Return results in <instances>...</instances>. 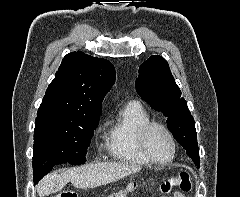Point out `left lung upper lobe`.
<instances>
[{"instance_id":"obj_1","label":"left lung upper lobe","mask_w":240,"mask_h":197,"mask_svg":"<svg viewBox=\"0 0 240 197\" xmlns=\"http://www.w3.org/2000/svg\"><path fill=\"white\" fill-rule=\"evenodd\" d=\"M136 91L153 109L167 117V127L186 150L193 162L200 166L195 123L187 103L171 74L167 61L153 55L139 67Z\"/></svg>"}]
</instances>
